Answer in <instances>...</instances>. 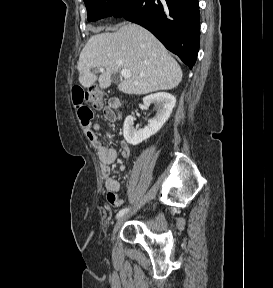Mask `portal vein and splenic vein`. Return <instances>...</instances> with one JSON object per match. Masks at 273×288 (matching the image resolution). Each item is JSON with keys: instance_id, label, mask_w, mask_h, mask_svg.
Instances as JSON below:
<instances>
[{"instance_id": "obj_1", "label": "portal vein and splenic vein", "mask_w": 273, "mask_h": 288, "mask_svg": "<svg viewBox=\"0 0 273 288\" xmlns=\"http://www.w3.org/2000/svg\"><path fill=\"white\" fill-rule=\"evenodd\" d=\"M99 71L103 72L104 68L103 67H99ZM121 76L126 78H130L131 77V71L128 69H121Z\"/></svg>"}]
</instances>
